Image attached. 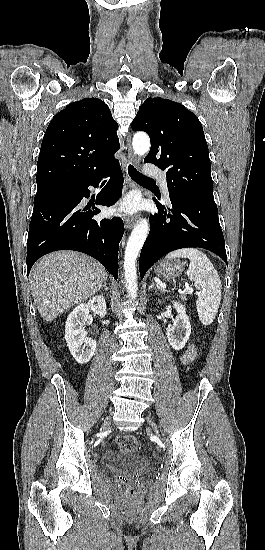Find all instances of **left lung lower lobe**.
Instances as JSON below:
<instances>
[{"label":"left lung lower lobe","mask_w":265,"mask_h":550,"mask_svg":"<svg viewBox=\"0 0 265 550\" xmlns=\"http://www.w3.org/2000/svg\"><path fill=\"white\" fill-rule=\"evenodd\" d=\"M158 213L150 215V232L140 254L141 278L162 256L180 248L200 247L220 256L227 264L225 241L218 210L193 200H171V208L155 198Z\"/></svg>","instance_id":"1"}]
</instances>
